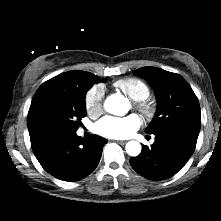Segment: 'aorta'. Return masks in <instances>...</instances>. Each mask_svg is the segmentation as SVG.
Returning a JSON list of instances; mask_svg holds the SVG:
<instances>
[{
  "label": "aorta",
  "mask_w": 221,
  "mask_h": 221,
  "mask_svg": "<svg viewBox=\"0 0 221 221\" xmlns=\"http://www.w3.org/2000/svg\"><path fill=\"white\" fill-rule=\"evenodd\" d=\"M129 107L128 100L120 95V94H113L105 100L104 108L107 112L121 115L126 113ZM126 152L130 156H138L141 152V144L138 141H129L126 144Z\"/></svg>",
  "instance_id": "1"
}]
</instances>
